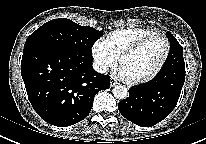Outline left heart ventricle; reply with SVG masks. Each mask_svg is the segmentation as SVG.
I'll use <instances>...</instances> for the list:
<instances>
[{"mask_svg": "<svg viewBox=\"0 0 206 144\" xmlns=\"http://www.w3.org/2000/svg\"><path fill=\"white\" fill-rule=\"evenodd\" d=\"M165 52V45L161 39H153L137 52L127 57L121 68L129 79L143 78L152 73L159 65Z\"/></svg>", "mask_w": 206, "mask_h": 144, "instance_id": "1", "label": "left heart ventricle"}]
</instances>
